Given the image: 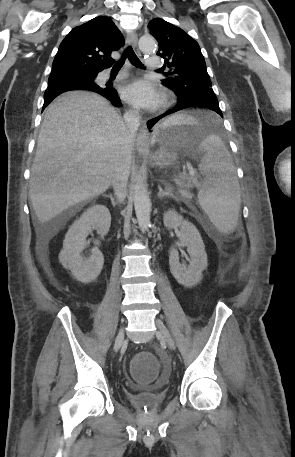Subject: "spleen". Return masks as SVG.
I'll return each mask as SVG.
<instances>
[{
    "instance_id": "spleen-1",
    "label": "spleen",
    "mask_w": 295,
    "mask_h": 457,
    "mask_svg": "<svg viewBox=\"0 0 295 457\" xmlns=\"http://www.w3.org/2000/svg\"><path fill=\"white\" fill-rule=\"evenodd\" d=\"M190 115L176 114L162 126L178 123H196ZM204 151L199 170L205 176L198 192V201L215 228L223 233H232L238 222L241 204L240 187L231 155L216 135H208L200 144Z\"/></svg>"
}]
</instances>
